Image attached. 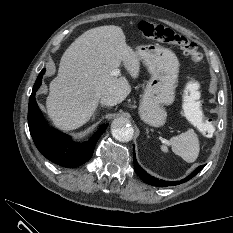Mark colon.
Listing matches in <instances>:
<instances>
[{
	"label": "colon",
	"mask_w": 233,
	"mask_h": 233,
	"mask_svg": "<svg viewBox=\"0 0 233 233\" xmlns=\"http://www.w3.org/2000/svg\"><path fill=\"white\" fill-rule=\"evenodd\" d=\"M140 32L147 38L168 43L179 47L193 63H198L202 55L196 43L192 42L185 36L176 33L172 29L161 24L140 21L138 23ZM200 86L198 81L191 78L184 90V113L206 136L214 132V125L211 118L204 116L201 112Z\"/></svg>",
	"instance_id": "5ec220e1"
}]
</instances>
